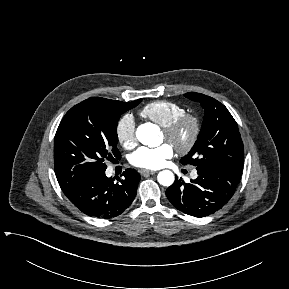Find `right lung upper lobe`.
<instances>
[{
  "label": "right lung upper lobe",
  "mask_w": 289,
  "mask_h": 289,
  "mask_svg": "<svg viewBox=\"0 0 289 289\" xmlns=\"http://www.w3.org/2000/svg\"><path fill=\"white\" fill-rule=\"evenodd\" d=\"M85 102H90V103L98 104L101 106H109V107L119 106L125 103L122 101H115V100H110V99H105V98H100V97H92V98L85 100Z\"/></svg>",
  "instance_id": "obj_1"
}]
</instances>
